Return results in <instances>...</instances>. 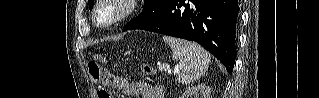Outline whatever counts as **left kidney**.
Wrapping results in <instances>:
<instances>
[{"instance_id": "5707ae66", "label": "left kidney", "mask_w": 319, "mask_h": 98, "mask_svg": "<svg viewBox=\"0 0 319 98\" xmlns=\"http://www.w3.org/2000/svg\"><path fill=\"white\" fill-rule=\"evenodd\" d=\"M211 89L205 84H198L187 88L181 98H210Z\"/></svg>"}]
</instances>
